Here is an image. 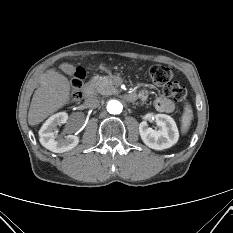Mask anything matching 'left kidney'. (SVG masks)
Instances as JSON below:
<instances>
[{
    "label": "left kidney",
    "instance_id": "5707ae66",
    "mask_svg": "<svg viewBox=\"0 0 233 233\" xmlns=\"http://www.w3.org/2000/svg\"><path fill=\"white\" fill-rule=\"evenodd\" d=\"M145 120H153L158 131L150 128L144 120L139 124V133L142 141L149 148L163 150L172 147L179 139V131L174 119L166 114H147Z\"/></svg>",
    "mask_w": 233,
    "mask_h": 233
}]
</instances>
